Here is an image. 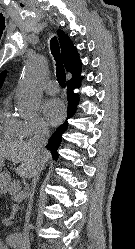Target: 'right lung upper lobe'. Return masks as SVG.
<instances>
[{"mask_svg": "<svg viewBox=\"0 0 135 249\" xmlns=\"http://www.w3.org/2000/svg\"><path fill=\"white\" fill-rule=\"evenodd\" d=\"M58 37L64 66L66 70L72 74L71 80L77 79L79 78L78 74H80L82 67L77 49L62 30H58ZM5 76L6 72L0 73V88L4 82Z\"/></svg>", "mask_w": 135, "mask_h": 249, "instance_id": "right-lung-upper-lobe-1", "label": "right lung upper lobe"}]
</instances>
